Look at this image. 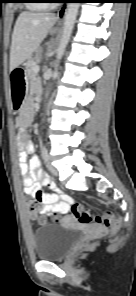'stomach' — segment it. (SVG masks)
<instances>
[{"label":"stomach","mask_w":136,"mask_h":296,"mask_svg":"<svg viewBox=\"0 0 136 296\" xmlns=\"http://www.w3.org/2000/svg\"><path fill=\"white\" fill-rule=\"evenodd\" d=\"M12 84H26L27 69L12 70ZM28 90V85H11V93L13 98V111H21L25 101H30V96L25 93Z\"/></svg>","instance_id":"0dacf381"}]
</instances>
